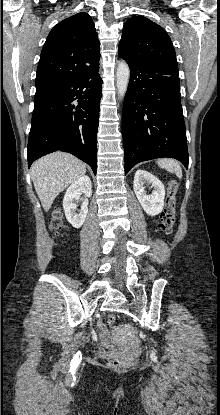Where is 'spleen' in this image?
<instances>
[{
    "mask_svg": "<svg viewBox=\"0 0 220 415\" xmlns=\"http://www.w3.org/2000/svg\"><path fill=\"white\" fill-rule=\"evenodd\" d=\"M157 164L159 167L166 169L170 173H175L179 178H182V169L177 161L173 159H159Z\"/></svg>",
    "mask_w": 220,
    "mask_h": 415,
    "instance_id": "obj_1",
    "label": "spleen"
}]
</instances>
